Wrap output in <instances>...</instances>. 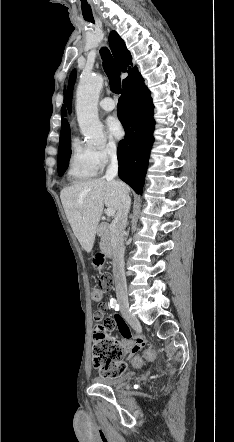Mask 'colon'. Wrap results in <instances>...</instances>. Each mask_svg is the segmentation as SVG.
Instances as JSON below:
<instances>
[{
    "mask_svg": "<svg viewBox=\"0 0 234 442\" xmlns=\"http://www.w3.org/2000/svg\"><path fill=\"white\" fill-rule=\"evenodd\" d=\"M96 266L99 274V286L92 289V300L95 303L103 304V298L106 291L112 290L114 287V279L112 274L104 266V257L98 256L96 258ZM111 331H104L99 334L94 330L93 343V365L97 368L103 377H117L124 373L127 369V362H130L133 367H141L144 361H154L157 350L154 347L148 346L141 350H123L119 341L108 336Z\"/></svg>",
    "mask_w": 234,
    "mask_h": 442,
    "instance_id": "colon-1",
    "label": "colon"
}]
</instances>
